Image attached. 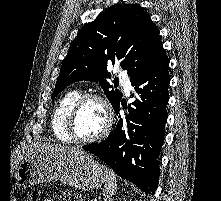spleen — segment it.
Segmentation results:
<instances>
[{"label":"spleen","mask_w":221,"mask_h":201,"mask_svg":"<svg viewBox=\"0 0 221 201\" xmlns=\"http://www.w3.org/2000/svg\"><path fill=\"white\" fill-rule=\"evenodd\" d=\"M106 173V184L103 189V195L105 198H109L114 195L117 190V181L115 174L106 166H103Z\"/></svg>","instance_id":"3e777b00"}]
</instances>
